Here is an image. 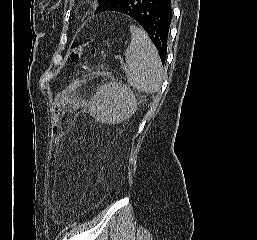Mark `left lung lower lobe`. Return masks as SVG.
I'll use <instances>...</instances> for the list:
<instances>
[{
    "label": "left lung lower lobe",
    "mask_w": 257,
    "mask_h": 240,
    "mask_svg": "<svg viewBox=\"0 0 257 240\" xmlns=\"http://www.w3.org/2000/svg\"><path fill=\"white\" fill-rule=\"evenodd\" d=\"M109 11L122 13L137 21L150 36L164 65L172 19L171 0H123Z\"/></svg>",
    "instance_id": "left-lung-lower-lobe-1"
}]
</instances>
